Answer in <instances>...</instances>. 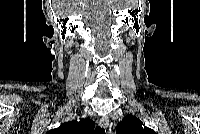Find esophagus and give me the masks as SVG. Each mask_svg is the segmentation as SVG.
Segmentation results:
<instances>
[{
	"instance_id": "esophagus-1",
	"label": "esophagus",
	"mask_w": 200,
	"mask_h": 134,
	"mask_svg": "<svg viewBox=\"0 0 200 134\" xmlns=\"http://www.w3.org/2000/svg\"><path fill=\"white\" fill-rule=\"evenodd\" d=\"M100 126L106 129L109 126V118L108 116H103L100 118Z\"/></svg>"
}]
</instances>
